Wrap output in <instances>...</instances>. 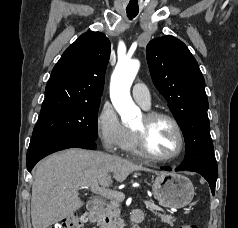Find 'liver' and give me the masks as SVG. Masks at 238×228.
<instances>
[{"label":"liver","instance_id":"liver-1","mask_svg":"<svg viewBox=\"0 0 238 228\" xmlns=\"http://www.w3.org/2000/svg\"><path fill=\"white\" fill-rule=\"evenodd\" d=\"M134 171L154 172L100 151L68 149L40 161L34 170L31 219L33 228H48L83 206L82 187H109Z\"/></svg>","mask_w":238,"mask_h":228}]
</instances>
